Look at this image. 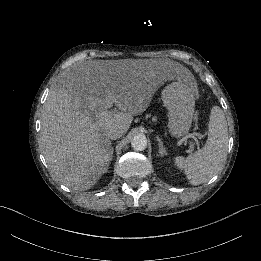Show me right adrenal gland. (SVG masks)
<instances>
[{
  "mask_svg": "<svg viewBox=\"0 0 261 261\" xmlns=\"http://www.w3.org/2000/svg\"><path fill=\"white\" fill-rule=\"evenodd\" d=\"M110 157L111 158L113 157V150H111Z\"/></svg>",
  "mask_w": 261,
  "mask_h": 261,
  "instance_id": "1",
  "label": "right adrenal gland"
}]
</instances>
